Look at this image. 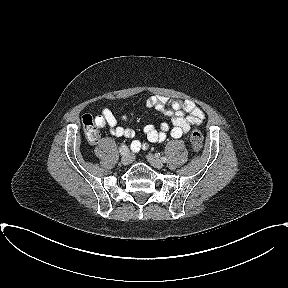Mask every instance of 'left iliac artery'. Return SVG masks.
Here are the masks:
<instances>
[{"instance_id":"left-iliac-artery-1","label":"left iliac artery","mask_w":288,"mask_h":288,"mask_svg":"<svg viewBox=\"0 0 288 288\" xmlns=\"http://www.w3.org/2000/svg\"><path fill=\"white\" fill-rule=\"evenodd\" d=\"M161 159L163 162H166V160H167L166 157H162Z\"/></svg>"}]
</instances>
